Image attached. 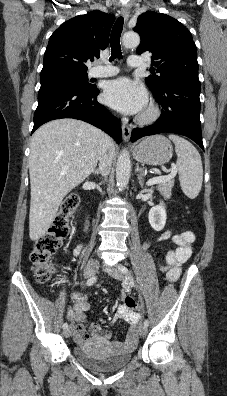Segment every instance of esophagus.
<instances>
[{"instance_id":"1","label":"esophagus","mask_w":227,"mask_h":396,"mask_svg":"<svg viewBox=\"0 0 227 396\" xmlns=\"http://www.w3.org/2000/svg\"><path fill=\"white\" fill-rule=\"evenodd\" d=\"M121 13L124 17V20L127 21L130 15V6L129 5H123L121 7ZM122 134H123V139L124 141H128L131 136V128L128 126L126 123L122 124Z\"/></svg>"}]
</instances>
